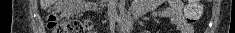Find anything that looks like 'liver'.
I'll use <instances>...</instances> for the list:
<instances>
[{
	"label": "liver",
	"mask_w": 235,
	"mask_h": 33,
	"mask_svg": "<svg viewBox=\"0 0 235 33\" xmlns=\"http://www.w3.org/2000/svg\"><path fill=\"white\" fill-rule=\"evenodd\" d=\"M55 3V0H40L41 9H47Z\"/></svg>",
	"instance_id": "1"
}]
</instances>
